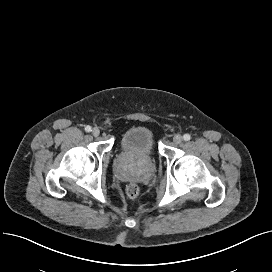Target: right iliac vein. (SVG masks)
Instances as JSON below:
<instances>
[{
	"mask_svg": "<svg viewBox=\"0 0 272 272\" xmlns=\"http://www.w3.org/2000/svg\"><path fill=\"white\" fill-rule=\"evenodd\" d=\"M92 134H93V136H95V137L99 136V134H100L99 128H97V127L93 128V129H92Z\"/></svg>",
	"mask_w": 272,
	"mask_h": 272,
	"instance_id": "63e3f726",
	"label": "right iliac vein"
}]
</instances>
